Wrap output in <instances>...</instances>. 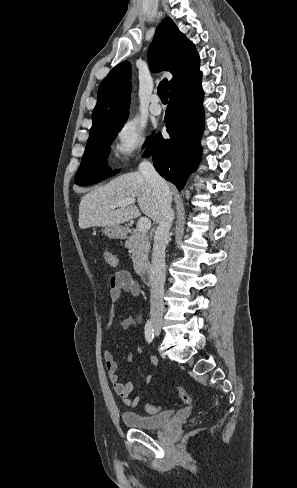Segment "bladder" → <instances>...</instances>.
Instances as JSON below:
<instances>
[{
  "label": "bladder",
  "instance_id": "1",
  "mask_svg": "<svg viewBox=\"0 0 297 488\" xmlns=\"http://www.w3.org/2000/svg\"><path fill=\"white\" fill-rule=\"evenodd\" d=\"M173 415L172 410L154 415H141L136 412L125 411L121 414V419L126 427L150 431L165 426Z\"/></svg>",
  "mask_w": 297,
  "mask_h": 488
}]
</instances>
